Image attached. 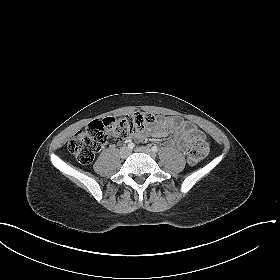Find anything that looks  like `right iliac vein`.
<instances>
[{
    "label": "right iliac vein",
    "instance_id": "1",
    "mask_svg": "<svg viewBox=\"0 0 280 280\" xmlns=\"http://www.w3.org/2000/svg\"><path fill=\"white\" fill-rule=\"evenodd\" d=\"M130 155V149L129 148H127V147H122L121 149H120V157L121 158H126V157H128Z\"/></svg>",
    "mask_w": 280,
    "mask_h": 280
}]
</instances>
